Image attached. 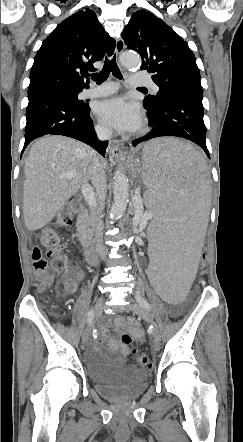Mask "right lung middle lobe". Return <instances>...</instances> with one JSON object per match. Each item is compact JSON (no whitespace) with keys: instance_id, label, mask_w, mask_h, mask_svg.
Returning a JSON list of instances; mask_svg holds the SVG:
<instances>
[{"instance_id":"obj_1","label":"right lung middle lobe","mask_w":243,"mask_h":442,"mask_svg":"<svg viewBox=\"0 0 243 442\" xmlns=\"http://www.w3.org/2000/svg\"><path fill=\"white\" fill-rule=\"evenodd\" d=\"M76 97L78 96V93L80 92V91H71Z\"/></svg>"}]
</instances>
